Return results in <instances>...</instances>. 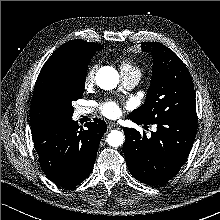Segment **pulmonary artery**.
Instances as JSON below:
<instances>
[{
    "label": "pulmonary artery",
    "mask_w": 220,
    "mask_h": 220,
    "mask_svg": "<svg viewBox=\"0 0 220 220\" xmlns=\"http://www.w3.org/2000/svg\"><path fill=\"white\" fill-rule=\"evenodd\" d=\"M140 80V74H123V82L126 88L131 89L137 85ZM81 114H89L92 112L90 108H81Z\"/></svg>",
    "instance_id": "obj_1"
}]
</instances>
